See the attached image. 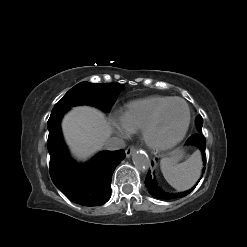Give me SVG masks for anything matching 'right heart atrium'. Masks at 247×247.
Masks as SVG:
<instances>
[{
    "label": "right heart atrium",
    "instance_id": "right-heart-atrium-1",
    "mask_svg": "<svg viewBox=\"0 0 247 247\" xmlns=\"http://www.w3.org/2000/svg\"><path fill=\"white\" fill-rule=\"evenodd\" d=\"M115 127L118 130V132H120L122 135L127 136L131 133V129L128 126V124L126 123L125 119L123 116H119L116 120H115Z\"/></svg>",
    "mask_w": 247,
    "mask_h": 247
}]
</instances>
